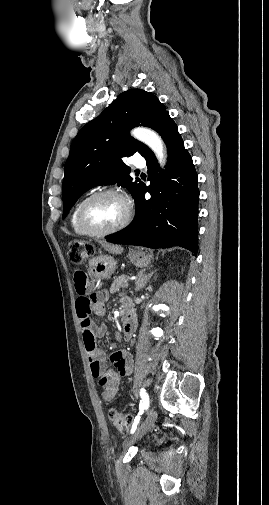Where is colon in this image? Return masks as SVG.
Returning a JSON list of instances; mask_svg holds the SVG:
<instances>
[{
	"instance_id": "colon-1",
	"label": "colon",
	"mask_w": 269,
	"mask_h": 505,
	"mask_svg": "<svg viewBox=\"0 0 269 505\" xmlns=\"http://www.w3.org/2000/svg\"><path fill=\"white\" fill-rule=\"evenodd\" d=\"M90 255L91 249L88 245L79 242H71L69 247V258L72 263L81 264L87 260ZM119 383L120 377L114 370L107 371L99 376V385L105 399L109 400L115 396ZM108 417L114 428L121 433H126L132 422L131 415L119 412L114 408L109 409Z\"/></svg>"
}]
</instances>
